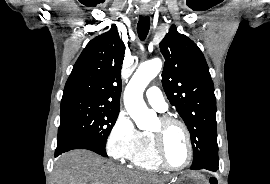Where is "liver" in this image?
I'll return each instance as SVG.
<instances>
[{"instance_id": "liver-1", "label": "liver", "mask_w": 270, "mask_h": 184, "mask_svg": "<svg viewBox=\"0 0 270 184\" xmlns=\"http://www.w3.org/2000/svg\"><path fill=\"white\" fill-rule=\"evenodd\" d=\"M165 179L120 167L87 150L62 154L55 162L53 184H164Z\"/></svg>"}]
</instances>
